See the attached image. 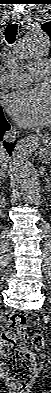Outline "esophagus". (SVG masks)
<instances>
[{"mask_svg":"<svg viewBox=\"0 0 51 393\" xmlns=\"http://www.w3.org/2000/svg\"><path fill=\"white\" fill-rule=\"evenodd\" d=\"M16 22H17L16 19H14L13 23H16Z\"/></svg>","mask_w":51,"mask_h":393,"instance_id":"1","label":"esophagus"}]
</instances>
